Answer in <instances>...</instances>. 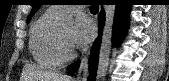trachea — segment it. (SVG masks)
Returning a JSON list of instances; mask_svg holds the SVG:
<instances>
[{"instance_id": "1", "label": "trachea", "mask_w": 169, "mask_h": 81, "mask_svg": "<svg viewBox=\"0 0 169 81\" xmlns=\"http://www.w3.org/2000/svg\"><path fill=\"white\" fill-rule=\"evenodd\" d=\"M90 9L91 10H98V5L97 4H91Z\"/></svg>"}]
</instances>
